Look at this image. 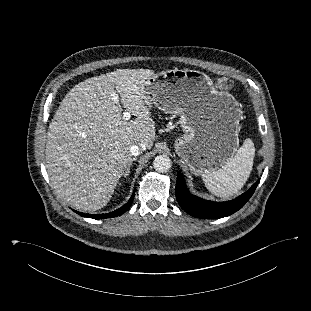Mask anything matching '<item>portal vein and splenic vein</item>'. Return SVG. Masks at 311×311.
I'll use <instances>...</instances> for the list:
<instances>
[{"instance_id": "portal-vein-and-splenic-vein-1", "label": "portal vein and splenic vein", "mask_w": 311, "mask_h": 311, "mask_svg": "<svg viewBox=\"0 0 311 311\" xmlns=\"http://www.w3.org/2000/svg\"><path fill=\"white\" fill-rule=\"evenodd\" d=\"M119 96H118V94H116V93H113L112 95H111V99L115 102V103H117L118 104V102H119ZM130 118H131V114H130V112H128L127 110H125L124 112H123V119L124 120H126V121H128V120H130Z\"/></svg>"}]
</instances>
